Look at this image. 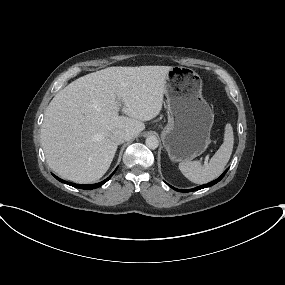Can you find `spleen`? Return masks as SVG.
Wrapping results in <instances>:
<instances>
[{
	"mask_svg": "<svg viewBox=\"0 0 285 285\" xmlns=\"http://www.w3.org/2000/svg\"><path fill=\"white\" fill-rule=\"evenodd\" d=\"M234 135L231 124L227 123L224 141L209 163L202 166L199 161L181 162L179 169L191 182L204 184L217 178L227 165L233 150Z\"/></svg>",
	"mask_w": 285,
	"mask_h": 285,
	"instance_id": "obj_1",
	"label": "spleen"
}]
</instances>
